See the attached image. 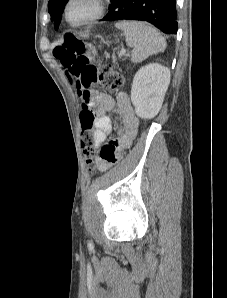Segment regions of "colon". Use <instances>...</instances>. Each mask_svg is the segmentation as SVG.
I'll list each match as a JSON object with an SVG mask.
<instances>
[{"instance_id": "1", "label": "colon", "mask_w": 227, "mask_h": 298, "mask_svg": "<svg viewBox=\"0 0 227 298\" xmlns=\"http://www.w3.org/2000/svg\"><path fill=\"white\" fill-rule=\"evenodd\" d=\"M92 54L93 49L89 43L71 34L65 35L61 43L54 48L55 58L64 67L78 95L83 99L81 147L89 165L93 164L94 137L92 129L97 119V115L92 110V88L99 83L105 89L115 90L123 84V77L110 66L92 64Z\"/></svg>"}]
</instances>
